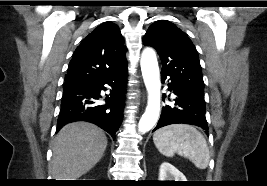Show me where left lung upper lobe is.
Listing matches in <instances>:
<instances>
[{
    "instance_id": "5c2ea615",
    "label": "left lung upper lobe",
    "mask_w": 267,
    "mask_h": 186,
    "mask_svg": "<svg viewBox=\"0 0 267 186\" xmlns=\"http://www.w3.org/2000/svg\"><path fill=\"white\" fill-rule=\"evenodd\" d=\"M143 43L158 52L163 65L161 74L204 93L197 50L181 29L167 20H158L149 27Z\"/></svg>"
}]
</instances>
